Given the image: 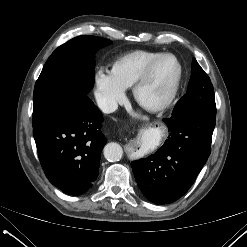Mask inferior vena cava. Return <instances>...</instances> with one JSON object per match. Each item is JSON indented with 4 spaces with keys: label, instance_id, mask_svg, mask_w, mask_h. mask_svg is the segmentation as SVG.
Segmentation results:
<instances>
[{
    "label": "inferior vena cava",
    "instance_id": "602c4592",
    "mask_svg": "<svg viewBox=\"0 0 247 247\" xmlns=\"http://www.w3.org/2000/svg\"><path fill=\"white\" fill-rule=\"evenodd\" d=\"M97 104L104 113H112L118 108V104L115 101L105 98L98 99Z\"/></svg>",
    "mask_w": 247,
    "mask_h": 247
}]
</instances>
